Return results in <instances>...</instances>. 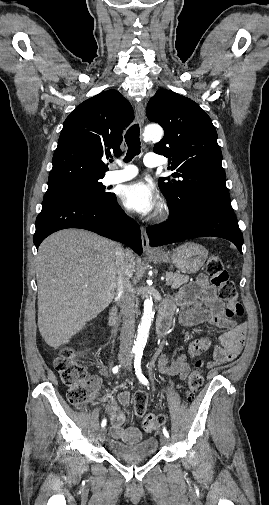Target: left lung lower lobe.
Here are the masks:
<instances>
[{
    "label": "left lung lower lobe",
    "mask_w": 269,
    "mask_h": 505,
    "mask_svg": "<svg viewBox=\"0 0 269 505\" xmlns=\"http://www.w3.org/2000/svg\"><path fill=\"white\" fill-rule=\"evenodd\" d=\"M147 234L150 246L196 237H221L233 242L242 253L243 235L231 207L230 197L196 193L191 199L188 213L180 215L170 209L169 219L147 228Z\"/></svg>",
    "instance_id": "left-lung-lower-lobe-1"
}]
</instances>
